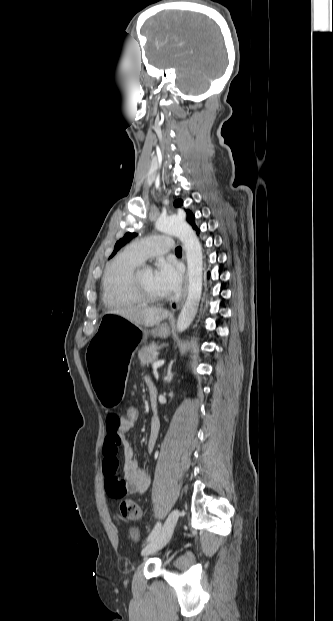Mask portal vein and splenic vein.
<instances>
[{
	"mask_svg": "<svg viewBox=\"0 0 333 621\" xmlns=\"http://www.w3.org/2000/svg\"><path fill=\"white\" fill-rule=\"evenodd\" d=\"M165 363V360H157L152 364V368L156 370Z\"/></svg>",
	"mask_w": 333,
	"mask_h": 621,
	"instance_id": "18ae733b",
	"label": "portal vein and splenic vein"
}]
</instances>
